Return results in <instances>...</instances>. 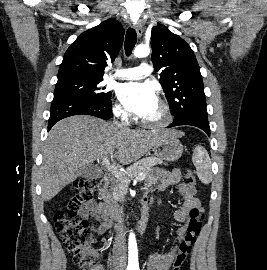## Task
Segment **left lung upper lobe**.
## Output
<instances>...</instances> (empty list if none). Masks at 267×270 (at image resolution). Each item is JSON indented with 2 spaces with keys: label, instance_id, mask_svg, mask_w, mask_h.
<instances>
[{
  "label": "left lung upper lobe",
  "instance_id": "left-lung-upper-lobe-1",
  "mask_svg": "<svg viewBox=\"0 0 267 270\" xmlns=\"http://www.w3.org/2000/svg\"><path fill=\"white\" fill-rule=\"evenodd\" d=\"M151 59L174 113V120L189 116L208 118L204 85L193 50L166 26L151 31Z\"/></svg>",
  "mask_w": 267,
  "mask_h": 270
}]
</instances>
